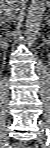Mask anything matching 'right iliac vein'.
Listing matches in <instances>:
<instances>
[{"label":"right iliac vein","mask_w":50,"mask_h":148,"mask_svg":"<svg viewBox=\"0 0 50 148\" xmlns=\"http://www.w3.org/2000/svg\"><path fill=\"white\" fill-rule=\"evenodd\" d=\"M7 141V135L5 133V131H2L1 135H0V146L4 147L5 142Z\"/></svg>","instance_id":"obj_1"}]
</instances>
